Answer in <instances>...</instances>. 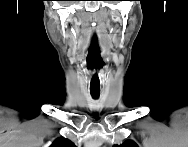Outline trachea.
<instances>
[{"label":"trachea","mask_w":188,"mask_h":147,"mask_svg":"<svg viewBox=\"0 0 188 147\" xmlns=\"http://www.w3.org/2000/svg\"><path fill=\"white\" fill-rule=\"evenodd\" d=\"M100 93H94V92H91V96L94 98V99H97L99 97Z\"/></svg>","instance_id":"trachea-1"}]
</instances>
